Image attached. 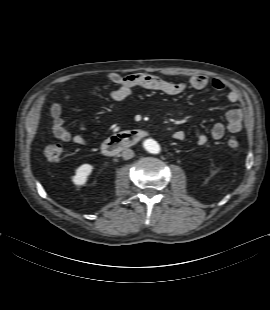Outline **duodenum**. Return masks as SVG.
I'll use <instances>...</instances> for the list:
<instances>
[{"label": "duodenum", "instance_id": "obj_1", "mask_svg": "<svg viewBox=\"0 0 270 310\" xmlns=\"http://www.w3.org/2000/svg\"><path fill=\"white\" fill-rule=\"evenodd\" d=\"M147 135L142 129L128 130L110 136L101 145V151L106 156H113L122 150L132 147Z\"/></svg>", "mask_w": 270, "mask_h": 310}]
</instances>
